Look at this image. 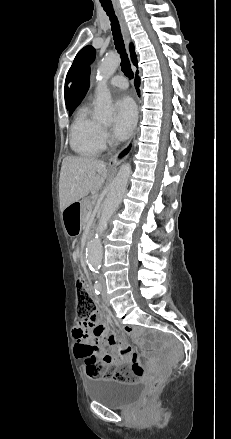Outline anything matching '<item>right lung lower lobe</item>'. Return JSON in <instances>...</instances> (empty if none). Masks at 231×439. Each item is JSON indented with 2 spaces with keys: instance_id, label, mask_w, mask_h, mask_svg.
I'll list each match as a JSON object with an SVG mask.
<instances>
[{
  "instance_id": "98d812e1",
  "label": "right lung lower lobe",
  "mask_w": 231,
  "mask_h": 439,
  "mask_svg": "<svg viewBox=\"0 0 231 439\" xmlns=\"http://www.w3.org/2000/svg\"><path fill=\"white\" fill-rule=\"evenodd\" d=\"M135 87H136L137 92H138V94H139L140 91H139V77H138V76H136V79H135ZM128 150H129V148L126 149V151H125L123 154H125Z\"/></svg>"
}]
</instances>
